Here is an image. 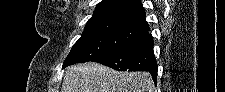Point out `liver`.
Here are the masks:
<instances>
[{
	"mask_svg": "<svg viewBox=\"0 0 225 92\" xmlns=\"http://www.w3.org/2000/svg\"><path fill=\"white\" fill-rule=\"evenodd\" d=\"M61 92H155L148 72H119L94 62L68 67Z\"/></svg>",
	"mask_w": 225,
	"mask_h": 92,
	"instance_id": "6515ba94",
	"label": "liver"
}]
</instances>
